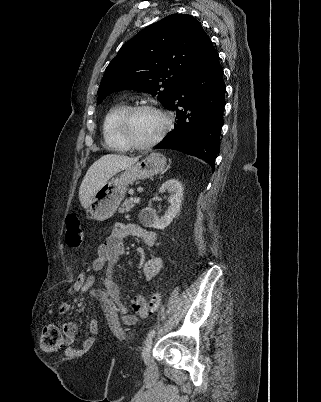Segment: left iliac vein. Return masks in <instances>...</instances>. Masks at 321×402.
Masks as SVG:
<instances>
[{
	"label": "left iliac vein",
	"instance_id": "4c4485c4",
	"mask_svg": "<svg viewBox=\"0 0 321 402\" xmlns=\"http://www.w3.org/2000/svg\"><path fill=\"white\" fill-rule=\"evenodd\" d=\"M153 341L150 339L145 343L142 349V358L147 363L149 361L150 352L152 349Z\"/></svg>",
	"mask_w": 321,
	"mask_h": 402
}]
</instances>
